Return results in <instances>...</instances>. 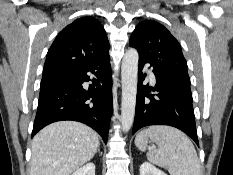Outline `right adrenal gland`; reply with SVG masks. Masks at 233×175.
<instances>
[{
  "label": "right adrenal gland",
  "mask_w": 233,
  "mask_h": 175,
  "mask_svg": "<svg viewBox=\"0 0 233 175\" xmlns=\"http://www.w3.org/2000/svg\"><path fill=\"white\" fill-rule=\"evenodd\" d=\"M98 153H99V155H102V153L100 152V147L98 146Z\"/></svg>",
  "instance_id": "obj_1"
}]
</instances>
